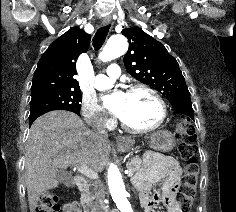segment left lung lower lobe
I'll use <instances>...</instances> for the list:
<instances>
[{
  "label": "left lung lower lobe",
  "mask_w": 236,
  "mask_h": 212,
  "mask_svg": "<svg viewBox=\"0 0 236 212\" xmlns=\"http://www.w3.org/2000/svg\"><path fill=\"white\" fill-rule=\"evenodd\" d=\"M171 105L174 108V114H184L194 120L191 99H179Z\"/></svg>",
  "instance_id": "obj_1"
}]
</instances>
